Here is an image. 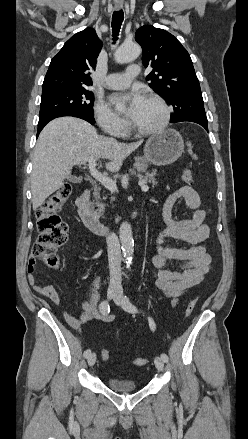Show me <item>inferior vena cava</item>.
I'll return each instance as SVG.
<instances>
[{
	"instance_id": "1",
	"label": "inferior vena cava",
	"mask_w": 248,
	"mask_h": 439,
	"mask_svg": "<svg viewBox=\"0 0 248 439\" xmlns=\"http://www.w3.org/2000/svg\"><path fill=\"white\" fill-rule=\"evenodd\" d=\"M108 261L110 270V284L121 287V251L118 237L110 233L106 237Z\"/></svg>"
}]
</instances>
